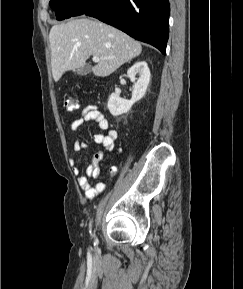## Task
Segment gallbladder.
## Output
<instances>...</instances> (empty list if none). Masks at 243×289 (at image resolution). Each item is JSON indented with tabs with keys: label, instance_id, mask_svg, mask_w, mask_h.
I'll use <instances>...</instances> for the list:
<instances>
[{
	"label": "gallbladder",
	"instance_id": "obj_1",
	"mask_svg": "<svg viewBox=\"0 0 243 289\" xmlns=\"http://www.w3.org/2000/svg\"><path fill=\"white\" fill-rule=\"evenodd\" d=\"M91 71H92V66L91 65H84L83 67L77 69L75 71V73L78 74V75L84 76V75L89 74Z\"/></svg>",
	"mask_w": 243,
	"mask_h": 289
}]
</instances>
